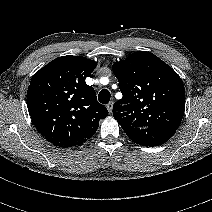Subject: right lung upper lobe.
<instances>
[{
	"instance_id": "1",
	"label": "right lung upper lobe",
	"mask_w": 212,
	"mask_h": 212,
	"mask_svg": "<svg viewBox=\"0 0 212 212\" xmlns=\"http://www.w3.org/2000/svg\"><path fill=\"white\" fill-rule=\"evenodd\" d=\"M96 62L81 56L58 57L32 77L27 92L31 119L43 137L55 146H78L96 132L108 110L85 79Z\"/></svg>"
}]
</instances>
